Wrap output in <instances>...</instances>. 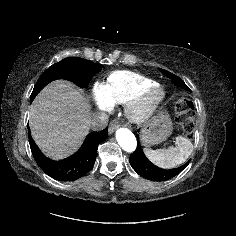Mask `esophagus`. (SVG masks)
<instances>
[{
    "instance_id": "1",
    "label": "esophagus",
    "mask_w": 236,
    "mask_h": 236,
    "mask_svg": "<svg viewBox=\"0 0 236 236\" xmlns=\"http://www.w3.org/2000/svg\"><path fill=\"white\" fill-rule=\"evenodd\" d=\"M119 124L116 120L112 121L109 125L108 131L109 133H113L117 128H118Z\"/></svg>"
}]
</instances>
